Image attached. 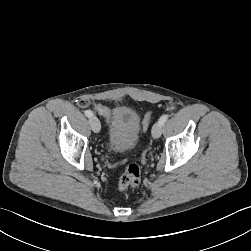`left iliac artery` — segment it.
<instances>
[{
	"label": "left iliac artery",
	"instance_id": "left-iliac-artery-1",
	"mask_svg": "<svg viewBox=\"0 0 251 251\" xmlns=\"http://www.w3.org/2000/svg\"><path fill=\"white\" fill-rule=\"evenodd\" d=\"M168 118L169 116L167 114L162 115L159 119L160 124L164 125V123L167 121Z\"/></svg>",
	"mask_w": 251,
	"mask_h": 251
}]
</instances>
